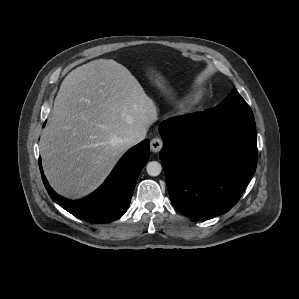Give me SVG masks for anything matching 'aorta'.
I'll return each instance as SVG.
<instances>
[{
    "instance_id": "1",
    "label": "aorta",
    "mask_w": 299,
    "mask_h": 299,
    "mask_svg": "<svg viewBox=\"0 0 299 299\" xmlns=\"http://www.w3.org/2000/svg\"><path fill=\"white\" fill-rule=\"evenodd\" d=\"M162 166L157 161H151L147 164L146 171L150 176H158L161 173Z\"/></svg>"
}]
</instances>
